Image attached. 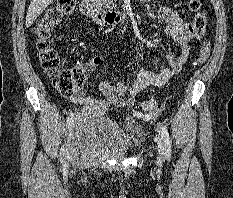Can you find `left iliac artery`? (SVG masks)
Instances as JSON below:
<instances>
[{"label": "left iliac artery", "mask_w": 233, "mask_h": 198, "mask_svg": "<svg viewBox=\"0 0 233 198\" xmlns=\"http://www.w3.org/2000/svg\"><path fill=\"white\" fill-rule=\"evenodd\" d=\"M160 132L162 134L163 140H164V147H165V154L167 158L171 157V141L169 137V133L165 126L159 124Z\"/></svg>", "instance_id": "obj_1"}]
</instances>
